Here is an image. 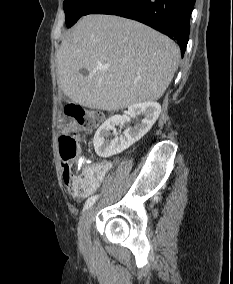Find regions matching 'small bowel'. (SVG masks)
Instances as JSON below:
<instances>
[{
	"instance_id": "c3829d8e",
	"label": "small bowel",
	"mask_w": 233,
	"mask_h": 284,
	"mask_svg": "<svg viewBox=\"0 0 233 284\" xmlns=\"http://www.w3.org/2000/svg\"><path fill=\"white\" fill-rule=\"evenodd\" d=\"M77 162L78 164L83 165V170L85 173H88L92 176L94 181V188L92 192L99 187L113 166L112 163L106 161L92 163L83 156L79 157Z\"/></svg>"
}]
</instances>
